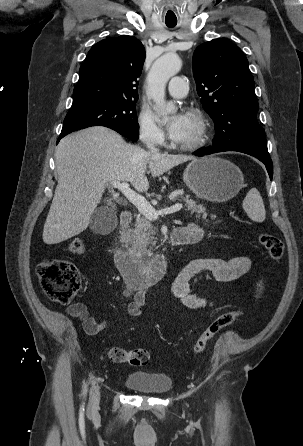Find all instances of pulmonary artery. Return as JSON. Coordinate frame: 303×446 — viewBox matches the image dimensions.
<instances>
[{"instance_id": "1", "label": "pulmonary artery", "mask_w": 303, "mask_h": 446, "mask_svg": "<svg viewBox=\"0 0 303 446\" xmlns=\"http://www.w3.org/2000/svg\"><path fill=\"white\" fill-rule=\"evenodd\" d=\"M167 90L172 98H182L188 91L187 82L183 77H173L168 84Z\"/></svg>"}]
</instances>
